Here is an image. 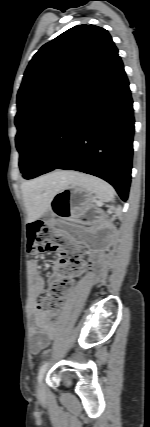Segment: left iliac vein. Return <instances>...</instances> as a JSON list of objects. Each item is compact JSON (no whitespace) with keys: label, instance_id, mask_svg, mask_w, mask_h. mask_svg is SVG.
<instances>
[{"label":"left iliac vein","instance_id":"obj_1","mask_svg":"<svg viewBox=\"0 0 150 427\" xmlns=\"http://www.w3.org/2000/svg\"><path fill=\"white\" fill-rule=\"evenodd\" d=\"M37 394L40 397H42L44 395V388H43V384H42V379L38 382Z\"/></svg>","mask_w":150,"mask_h":427}]
</instances>
